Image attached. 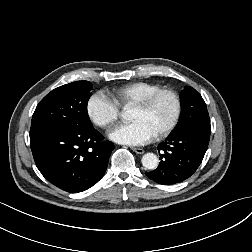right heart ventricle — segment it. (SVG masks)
<instances>
[{"label":"right heart ventricle","mask_w":252,"mask_h":252,"mask_svg":"<svg viewBox=\"0 0 252 252\" xmlns=\"http://www.w3.org/2000/svg\"><path fill=\"white\" fill-rule=\"evenodd\" d=\"M156 83L139 81L124 85L113 93V100L123 106H134L152 92L161 89Z\"/></svg>","instance_id":"obj_1"}]
</instances>
